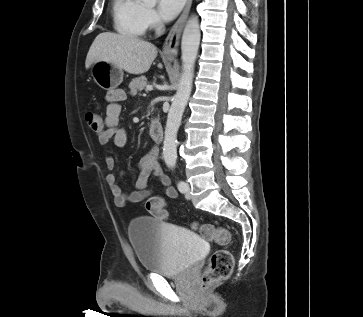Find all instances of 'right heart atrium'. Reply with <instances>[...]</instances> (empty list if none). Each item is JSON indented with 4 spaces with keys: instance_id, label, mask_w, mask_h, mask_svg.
Here are the masks:
<instances>
[{
    "instance_id": "obj_1",
    "label": "right heart atrium",
    "mask_w": 363,
    "mask_h": 317,
    "mask_svg": "<svg viewBox=\"0 0 363 317\" xmlns=\"http://www.w3.org/2000/svg\"><path fill=\"white\" fill-rule=\"evenodd\" d=\"M146 19L148 26L152 29H158L161 26V21L154 10L148 9L146 11Z\"/></svg>"
}]
</instances>
